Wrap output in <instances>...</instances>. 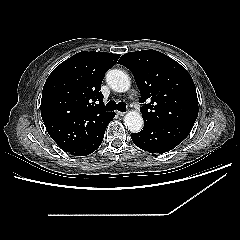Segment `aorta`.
<instances>
[{"label":"aorta","instance_id":"1","mask_svg":"<svg viewBox=\"0 0 240 240\" xmlns=\"http://www.w3.org/2000/svg\"><path fill=\"white\" fill-rule=\"evenodd\" d=\"M106 81L112 90L120 93L128 91L131 85L129 76L119 69L109 70ZM124 122L126 128L132 133L140 132L144 124L143 117L137 111H129L124 117Z\"/></svg>","mask_w":240,"mask_h":240}]
</instances>
